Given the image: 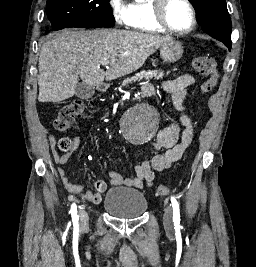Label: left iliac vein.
<instances>
[{"label": "left iliac vein", "instance_id": "1", "mask_svg": "<svg viewBox=\"0 0 256 267\" xmlns=\"http://www.w3.org/2000/svg\"><path fill=\"white\" fill-rule=\"evenodd\" d=\"M163 223L168 230H173V209L171 206L167 205L164 209Z\"/></svg>", "mask_w": 256, "mask_h": 267}]
</instances>
